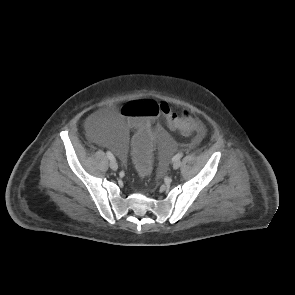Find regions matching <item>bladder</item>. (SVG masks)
Listing matches in <instances>:
<instances>
[{
  "label": "bladder",
  "mask_w": 295,
  "mask_h": 295,
  "mask_svg": "<svg viewBox=\"0 0 295 295\" xmlns=\"http://www.w3.org/2000/svg\"><path fill=\"white\" fill-rule=\"evenodd\" d=\"M116 116L110 111L90 114L81 125V134L89 142L100 143L113 157H123L130 150L129 133L117 124ZM156 137L161 141L155 169L159 177L164 178L171 166L170 157L177 152L164 123L159 122L154 128Z\"/></svg>",
  "instance_id": "31cf9c89"
}]
</instances>
